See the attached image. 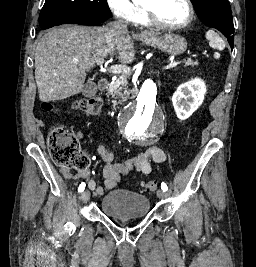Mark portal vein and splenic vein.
Wrapping results in <instances>:
<instances>
[{
    "label": "portal vein and splenic vein",
    "instance_id": "1",
    "mask_svg": "<svg viewBox=\"0 0 256 267\" xmlns=\"http://www.w3.org/2000/svg\"><path fill=\"white\" fill-rule=\"evenodd\" d=\"M99 66H102V64H104L103 60H100V62H98ZM178 65V62L176 61H172L171 64H165L166 70H168V68H173V66ZM132 68L127 67L125 68V66H111L110 68V72H112V74H131Z\"/></svg>",
    "mask_w": 256,
    "mask_h": 267
}]
</instances>
